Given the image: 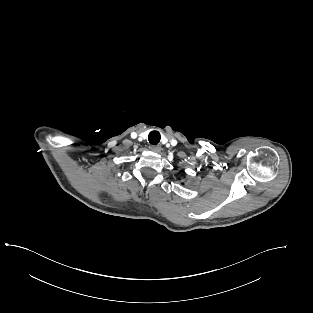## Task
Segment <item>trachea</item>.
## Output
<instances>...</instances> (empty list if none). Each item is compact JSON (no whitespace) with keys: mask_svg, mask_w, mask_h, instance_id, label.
Listing matches in <instances>:
<instances>
[{"mask_svg":"<svg viewBox=\"0 0 313 313\" xmlns=\"http://www.w3.org/2000/svg\"><path fill=\"white\" fill-rule=\"evenodd\" d=\"M161 136L158 131H152L148 135L150 144L157 145L160 142Z\"/></svg>","mask_w":313,"mask_h":313,"instance_id":"trachea-1","label":"trachea"}]
</instances>
